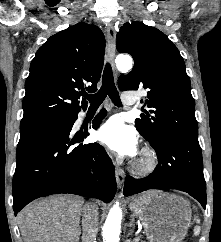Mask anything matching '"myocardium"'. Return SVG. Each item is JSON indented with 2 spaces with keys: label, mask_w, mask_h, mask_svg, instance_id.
Segmentation results:
<instances>
[{
  "label": "myocardium",
  "mask_w": 221,
  "mask_h": 242,
  "mask_svg": "<svg viewBox=\"0 0 221 242\" xmlns=\"http://www.w3.org/2000/svg\"><path fill=\"white\" fill-rule=\"evenodd\" d=\"M158 164L156 152L150 148H143L137 158L133 161L132 166L139 175H147L155 170Z\"/></svg>",
  "instance_id": "obj_1"
}]
</instances>
